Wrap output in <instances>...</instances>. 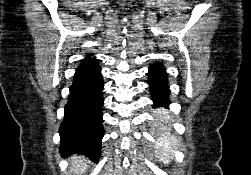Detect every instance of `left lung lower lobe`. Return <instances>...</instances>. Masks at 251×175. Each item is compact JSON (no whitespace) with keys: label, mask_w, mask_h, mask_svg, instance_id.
Masks as SVG:
<instances>
[{"label":"left lung lower lobe","mask_w":251,"mask_h":175,"mask_svg":"<svg viewBox=\"0 0 251 175\" xmlns=\"http://www.w3.org/2000/svg\"><path fill=\"white\" fill-rule=\"evenodd\" d=\"M149 79L152 108L166 107L171 102L169 100L170 90L167 81V72L162 64H153L149 67ZM165 115L163 111L154 113L155 118H162Z\"/></svg>","instance_id":"obj_1"}]
</instances>
